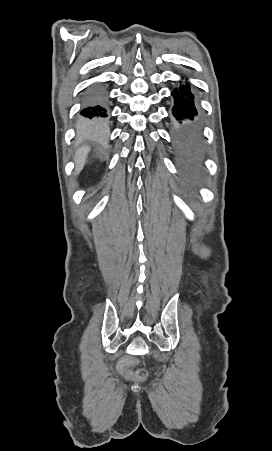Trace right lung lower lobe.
<instances>
[{"label": "right lung lower lobe", "instance_id": "obj_1", "mask_svg": "<svg viewBox=\"0 0 272 451\" xmlns=\"http://www.w3.org/2000/svg\"><path fill=\"white\" fill-rule=\"evenodd\" d=\"M79 114L82 116L79 123L85 131L98 132L109 125V112L104 96L99 91H90L86 95L84 106Z\"/></svg>", "mask_w": 272, "mask_h": 451}]
</instances>
